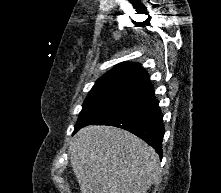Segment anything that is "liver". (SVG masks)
I'll use <instances>...</instances> for the list:
<instances>
[{
	"label": "liver",
	"mask_w": 221,
	"mask_h": 193,
	"mask_svg": "<svg viewBox=\"0 0 221 193\" xmlns=\"http://www.w3.org/2000/svg\"><path fill=\"white\" fill-rule=\"evenodd\" d=\"M70 154L81 193H147L160 175L156 151L134 134L113 126L80 129Z\"/></svg>",
	"instance_id": "obj_1"
}]
</instances>
